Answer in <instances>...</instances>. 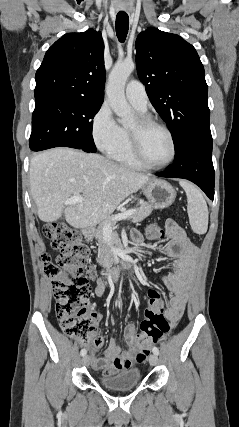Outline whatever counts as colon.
Returning a JSON list of instances; mask_svg holds the SVG:
<instances>
[{
  "instance_id": "colon-1",
  "label": "colon",
  "mask_w": 239,
  "mask_h": 427,
  "mask_svg": "<svg viewBox=\"0 0 239 427\" xmlns=\"http://www.w3.org/2000/svg\"><path fill=\"white\" fill-rule=\"evenodd\" d=\"M159 222L147 228L151 244H165L166 232ZM43 233L51 246L59 251L56 261L48 254L42 255L44 272L51 279L55 295V313L63 332L89 345L95 328V319L90 309V280L95 277V268L88 264L89 249L80 233L65 223H50ZM156 285L147 287L145 318L136 343V358L142 362L150 353V346L158 343L169 331L170 325L164 316L165 297Z\"/></svg>"
}]
</instances>
